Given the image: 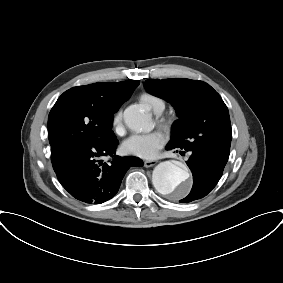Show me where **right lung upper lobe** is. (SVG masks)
Returning a JSON list of instances; mask_svg holds the SVG:
<instances>
[{
	"label": "right lung upper lobe",
	"instance_id": "cb5924a9",
	"mask_svg": "<svg viewBox=\"0 0 283 283\" xmlns=\"http://www.w3.org/2000/svg\"><path fill=\"white\" fill-rule=\"evenodd\" d=\"M138 85V80H129L122 82L94 83L75 88L93 106L103 112H111L117 111L120 106L130 98Z\"/></svg>",
	"mask_w": 283,
	"mask_h": 283
}]
</instances>
